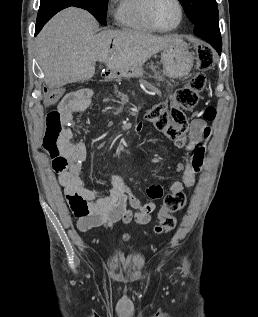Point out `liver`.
<instances>
[{"instance_id":"liver-1","label":"liver","mask_w":258,"mask_h":317,"mask_svg":"<svg viewBox=\"0 0 258 317\" xmlns=\"http://www.w3.org/2000/svg\"><path fill=\"white\" fill-rule=\"evenodd\" d=\"M98 22L83 8L69 6L55 14L37 36V54L44 80L51 88L88 80L95 62L110 70H142L156 52L182 42L178 34L156 36L146 30H98ZM97 32V34H95Z\"/></svg>"}]
</instances>
